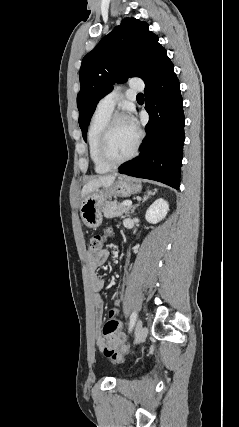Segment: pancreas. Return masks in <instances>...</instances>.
Here are the masks:
<instances>
[{
	"instance_id": "obj_1",
	"label": "pancreas",
	"mask_w": 239,
	"mask_h": 427,
	"mask_svg": "<svg viewBox=\"0 0 239 427\" xmlns=\"http://www.w3.org/2000/svg\"><path fill=\"white\" fill-rule=\"evenodd\" d=\"M129 210H130L129 206H123L122 204L114 201V202H108L105 205L103 213H104V216L108 219H111L114 217L125 218Z\"/></svg>"
}]
</instances>
